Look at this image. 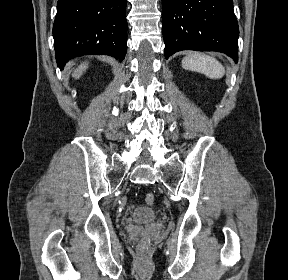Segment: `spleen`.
Listing matches in <instances>:
<instances>
[{
	"mask_svg": "<svg viewBox=\"0 0 288 280\" xmlns=\"http://www.w3.org/2000/svg\"><path fill=\"white\" fill-rule=\"evenodd\" d=\"M182 67L196 71L211 79H220L225 75L224 66L215 58L204 53H192L182 60Z\"/></svg>",
	"mask_w": 288,
	"mask_h": 280,
	"instance_id": "1",
	"label": "spleen"
}]
</instances>
